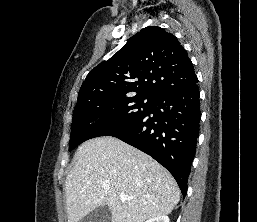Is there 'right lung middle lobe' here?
Masks as SVG:
<instances>
[{"label":"right lung middle lobe","instance_id":"right-lung-middle-lobe-1","mask_svg":"<svg viewBox=\"0 0 257 222\" xmlns=\"http://www.w3.org/2000/svg\"><path fill=\"white\" fill-rule=\"evenodd\" d=\"M155 98L101 96L78 103L74 109L69 151L99 136H113L137 123L153 108Z\"/></svg>","mask_w":257,"mask_h":222}]
</instances>
